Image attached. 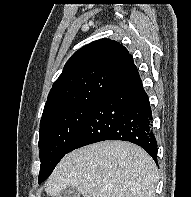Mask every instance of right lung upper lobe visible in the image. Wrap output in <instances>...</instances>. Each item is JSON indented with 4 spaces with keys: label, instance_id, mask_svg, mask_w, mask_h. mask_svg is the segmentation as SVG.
I'll return each instance as SVG.
<instances>
[{
    "label": "right lung upper lobe",
    "instance_id": "right-lung-upper-lobe-1",
    "mask_svg": "<svg viewBox=\"0 0 191 197\" xmlns=\"http://www.w3.org/2000/svg\"><path fill=\"white\" fill-rule=\"evenodd\" d=\"M139 75L128 50L110 39L94 41L76 51L54 82L42 119L82 104L97 103L113 86Z\"/></svg>",
    "mask_w": 191,
    "mask_h": 197
}]
</instances>
